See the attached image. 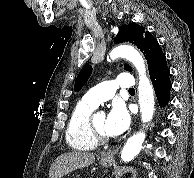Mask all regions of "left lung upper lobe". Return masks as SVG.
<instances>
[{
  "label": "left lung upper lobe",
  "mask_w": 194,
  "mask_h": 178,
  "mask_svg": "<svg viewBox=\"0 0 194 178\" xmlns=\"http://www.w3.org/2000/svg\"><path fill=\"white\" fill-rule=\"evenodd\" d=\"M114 42H131L135 44L143 52L148 63L149 71L165 56L157 40L148 31L145 32L143 27L135 23L121 26ZM124 69L131 71V68L127 64H125ZM91 72L92 67L90 65L82 68L75 81V91H79L83 87L90 77Z\"/></svg>",
  "instance_id": "5c2ea615"
}]
</instances>
